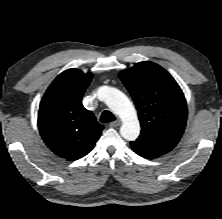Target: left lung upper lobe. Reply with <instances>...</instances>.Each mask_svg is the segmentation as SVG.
Returning <instances> with one entry per match:
<instances>
[{
  "label": "left lung upper lobe",
  "instance_id": "5c2ea615",
  "mask_svg": "<svg viewBox=\"0 0 222 219\" xmlns=\"http://www.w3.org/2000/svg\"><path fill=\"white\" fill-rule=\"evenodd\" d=\"M142 126L136 142L172 150L186 125L187 105L179 85L161 66L139 62L119 73Z\"/></svg>",
  "mask_w": 222,
  "mask_h": 219
}]
</instances>
